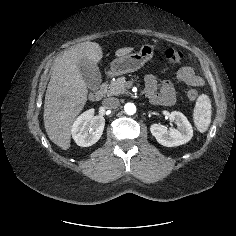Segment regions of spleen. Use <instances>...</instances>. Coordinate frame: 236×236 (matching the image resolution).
<instances>
[{"instance_id": "obj_1", "label": "spleen", "mask_w": 236, "mask_h": 236, "mask_svg": "<svg viewBox=\"0 0 236 236\" xmlns=\"http://www.w3.org/2000/svg\"><path fill=\"white\" fill-rule=\"evenodd\" d=\"M211 101L210 98L202 94L198 97L193 113V120L199 132L207 131L211 123Z\"/></svg>"}]
</instances>
